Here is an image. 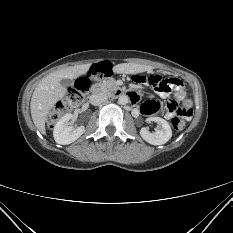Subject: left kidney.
Wrapping results in <instances>:
<instances>
[{"label":"left kidney","mask_w":233,"mask_h":233,"mask_svg":"<svg viewBox=\"0 0 233 233\" xmlns=\"http://www.w3.org/2000/svg\"><path fill=\"white\" fill-rule=\"evenodd\" d=\"M154 121L159 125V128L151 133L147 128L143 127L140 130L141 137L152 145H162L172 137V130L169 123L160 117H149L146 122Z\"/></svg>","instance_id":"obj_1"}]
</instances>
